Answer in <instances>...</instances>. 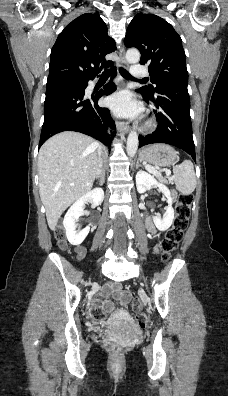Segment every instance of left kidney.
I'll list each match as a JSON object with an SVG mask.
<instances>
[{
  "label": "left kidney",
  "mask_w": 228,
  "mask_h": 396,
  "mask_svg": "<svg viewBox=\"0 0 228 396\" xmlns=\"http://www.w3.org/2000/svg\"><path fill=\"white\" fill-rule=\"evenodd\" d=\"M136 187L139 193H144L151 187H157L168 199V206L163 217L160 215L153 216V222L160 231L167 230L174 221V209L172 207V197L167 186L159 183L152 175L145 171H138L136 174Z\"/></svg>",
  "instance_id": "obj_1"
}]
</instances>
